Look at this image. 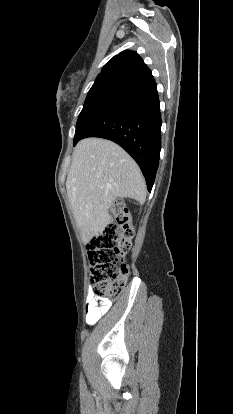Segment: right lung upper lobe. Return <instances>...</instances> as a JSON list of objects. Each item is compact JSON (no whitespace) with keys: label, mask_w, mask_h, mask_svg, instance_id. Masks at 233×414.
<instances>
[{"label":"right lung upper lobe","mask_w":233,"mask_h":414,"mask_svg":"<svg viewBox=\"0 0 233 414\" xmlns=\"http://www.w3.org/2000/svg\"><path fill=\"white\" fill-rule=\"evenodd\" d=\"M151 74L141 57L134 51H123L114 56L102 69L97 78L105 76H119L125 79L136 80Z\"/></svg>","instance_id":"cb5924a9"}]
</instances>
